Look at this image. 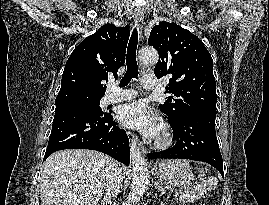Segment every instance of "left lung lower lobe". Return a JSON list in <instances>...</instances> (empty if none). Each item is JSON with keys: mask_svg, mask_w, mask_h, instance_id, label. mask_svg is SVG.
Returning <instances> with one entry per match:
<instances>
[{"mask_svg": "<svg viewBox=\"0 0 269 205\" xmlns=\"http://www.w3.org/2000/svg\"><path fill=\"white\" fill-rule=\"evenodd\" d=\"M214 111H197L185 114L172 124L175 146L148 159H190L203 161L215 167L223 176V160L215 132Z\"/></svg>", "mask_w": 269, "mask_h": 205, "instance_id": "1", "label": "left lung lower lobe"}]
</instances>
